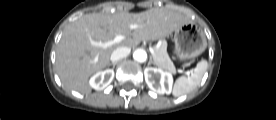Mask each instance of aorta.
Here are the masks:
<instances>
[{"instance_id":"aorta-1","label":"aorta","mask_w":276,"mask_h":120,"mask_svg":"<svg viewBox=\"0 0 276 120\" xmlns=\"http://www.w3.org/2000/svg\"><path fill=\"white\" fill-rule=\"evenodd\" d=\"M133 58L135 61L143 63L147 59V53L143 49H137L133 53Z\"/></svg>"}]
</instances>
